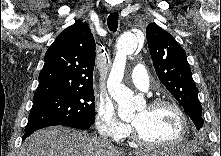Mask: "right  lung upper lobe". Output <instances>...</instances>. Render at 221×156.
Segmentation results:
<instances>
[{
	"mask_svg": "<svg viewBox=\"0 0 221 156\" xmlns=\"http://www.w3.org/2000/svg\"><path fill=\"white\" fill-rule=\"evenodd\" d=\"M95 41L81 20L67 27L45 53L34 98L93 89Z\"/></svg>",
	"mask_w": 221,
	"mask_h": 156,
	"instance_id": "obj_1",
	"label": "right lung upper lobe"
}]
</instances>
